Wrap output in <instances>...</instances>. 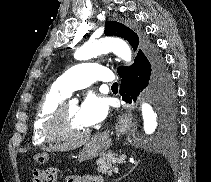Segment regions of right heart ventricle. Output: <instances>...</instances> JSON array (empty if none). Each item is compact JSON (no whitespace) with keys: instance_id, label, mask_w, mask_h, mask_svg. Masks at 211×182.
I'll use <instances>...</instances> for the list:
<instances>
[{"instance_id":"1","label":"right heart ventricle","mask_w":211,"mask_h":182,"mask_svg":"<svg viewBox=\"0 0 211 182\" xmlns=\"http://www.w3.org/2000/svg\"><path fill=\"white\" fill-rule=\"evenodd\" d=\"M66 97L63 92L54 86L42 97L32 122V143L34 145L40 146L51 141L44 133L46 123L56 107L63 102Z\"/></svg>"}]
</instances>
